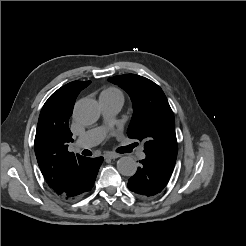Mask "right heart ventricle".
<instances>
[{"instance_id":"e07e8e85","label":"right heart ventricle","mask_w":246,"mask_h":246,"mask_svg":"<svg viewBox=\"0 0 246 246\" xmlns=\"http://www.w3.org/2000/svg\"><path fill=\"white\" fill-rule=\"evenodd\" d=\"M100 97H106V98H116L124 100V95L121 90H119L116 87H108L105 90L102 91Z\"/></svg>"}]
</instances>
